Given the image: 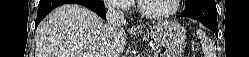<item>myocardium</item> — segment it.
Returning a JSON list of instances; mask_svg holds the SVG:
<instances>
[{
  "label": "myocardium",
  "mask_w": 249,
  "mask_h": 57,
  "mask_svg": "<svg viewBox=\"0 0 249 57\" xmlns=\"http://www.w3.org/2000/svg\"><path fill=\"white\" fill-rule=\"evenodd\" d=\"M180 0H174V4L173 7L170 11L164 12V13H159V14H154V13H149L145 10L144 6H143V0H138L137 1V7H138V11L139 13L149 19V20H164L167 19L169 17H171L172 15H174L179 7H180Z\"/></svg>",
  "instance_id": "1"
}]
</instances>
